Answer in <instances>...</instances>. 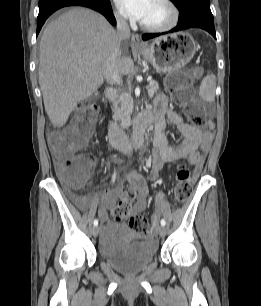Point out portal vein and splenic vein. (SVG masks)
<instances>
[{
  "instance_id": "1",
  "label": "portal vein and splenic vein",
  "mask_w": 261,
  "mask_h": 306,
  "mask_svg": "<svg viewBox=\"0 0 261 306\" xmlns=\"http://www.w3.org/2000/svg\"><path fill=\"white\" fill-rule=\"evenodd\" d=\"M148 92H149V86H147Z\"/></svg>"
}]
</instances>
